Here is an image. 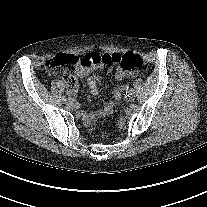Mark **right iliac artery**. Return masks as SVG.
Instances as JSON below:
<instances>
[{
	"instance_id": "right-iliac-artery-1",
	"label": "right iliac artery",
	"mask_w": 207,
	"mask_h": 207,
	"mask_svg": "<svg viewBox=\"0 0 207 207\" xmlns=\"http://www.w3.org/2000/svg\"><path fill=\"white\" fill-rule=\"evenodd\" d=\"M62 99H63L64 101H66L67 98H66L65 96H63Z\"/></svg>"
}]
</instances>
